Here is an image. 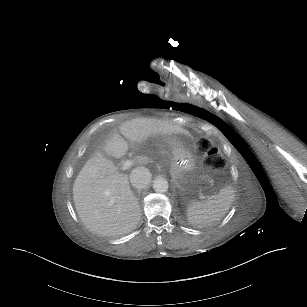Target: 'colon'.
Returning <instances> with one entry per match:
<instances>
[{
  "label": "colon",
  "instance_id": "1",
  "mask_svg": "<svg viewBox=\"0 0 307 307\" xmlns=\"http://www.w3.org/2000/svg\"><path fill=\"white\" fill-rule=\"evenodd\" d=\"M199 149L205 153V165L208 168H217L219 171H226L229 168V161L225 158L222 150L212 146L209 139H202L199 142Z\"/></svg>",
  "mask_w": 307,
  "mask_h": 307
}]
</instances>
